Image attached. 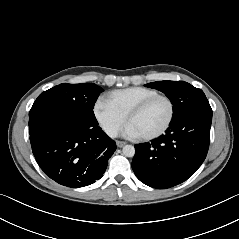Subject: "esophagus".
Instances as JSON below:
<instances>
[{
	"label": "esophagus",
	"mask_w": 239,
	"mask_h": 239,
	"mask_svg": "<svg viewBox=\"0 0 239 239\" xmlns=\"http://www.w3.org/2000/svg\"><path fill=\"white\" fill-rule=\"evenodd\" d=\"M116 144H117V146L119 148H121V147H123L126 144V142H124V141H117Z\"/></svg>",
	"instance_id": "esophagus-1"
}]
</instances>
